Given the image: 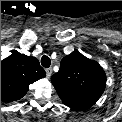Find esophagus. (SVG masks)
<instances>
[{
  "instance_id": "1",
  "label": "esophagus",
  "mask_w": 122,
  "mask_h": 122,
  "mask_svg": "<svg viewBox=\"0 0 122 122\" xmlns=\"http://www.w3.org/2000/svg\"><path fill=\"white\" fill-rule=\"evenodd\" d=\"M51 76V71L47 70V77L49 78Z\"/></svg>"
}]
</instances>
